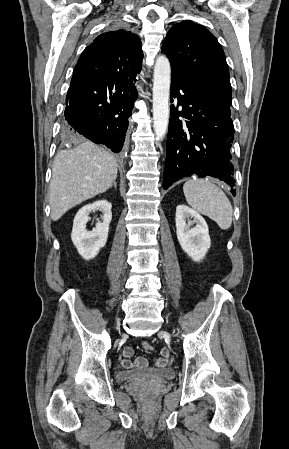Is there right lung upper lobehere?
Wrapping results in <instances>:
<instances>
[{"instance_id": "cb5924a9", "label": "right lung upper lobe", "mask_w": 289, "mask_h": 449, "mask_svg": "<svg viewBox=\"0 0 289 449\" xmlns=\"http://www.w3.org/2000/svg\"><path fill=\"white\" fill-rule=\"evenodd\" d=\"M142 58L137 35L122 29L103 33L85 48L72 78L92 82L135 78L141 71Z\"/></svg>"}]
</instances>
